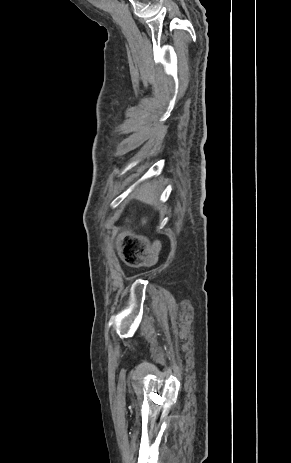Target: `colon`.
Returning <instances> with one entry per match:
<instances>
[{"mask_svg":"<svg viewBox=\"0 0 291 463\" xmlns=\"http://www.w3.org/2000/svg\"><path fill=\"white\" fill-rule=\"evenodd\" d=\"M121 252L126 264L140 266L147 260L145 241L132 233H125L121 237Z\"/></svg>","mask_w":291,"mask_h":463,"instance_id":"obj_1","label":"colon"}]
</instances>
